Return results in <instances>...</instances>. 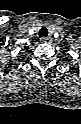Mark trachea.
<instances>
[{
    "mask_svg": "<svg viewBox=\"0 0 81 124\" xmlns=\"http://www.w3.org/2000/svg\"><path fill=\"white\" fill-rule=\"evenodd\" d=\"M47 35H48V30H47V28L42 27V28L40 29V31H39V36H40V37H47Z\"/></svg>",
    "mask_w": 81,
    "mask_h": 124,
    "instance_id": "1",
    "label": "trachea"
}]
</instances>
